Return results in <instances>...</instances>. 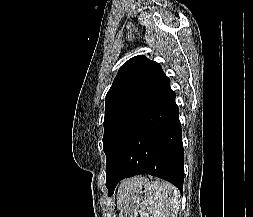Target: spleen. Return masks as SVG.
Returning a JSON list of instances; mask_svg holds the SVG:
<instances>
[{
  "instance_id": "spleen-1",
  "label": "spleen",
  "mask_w": 253,
  "mask_h": 217,
  "mask_svg": "<svg viewBox=\"0 0 253 217\" xmlns=\"http://www.w3.org/2000/svg\"><path fill=\"white\" fill-rule=\"evenodd\" d=\"M145 191L140 217H176L180 201L175 186L166 181H151L145 184Z\"/></svg>"
}]
</instances>
